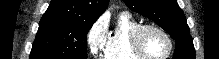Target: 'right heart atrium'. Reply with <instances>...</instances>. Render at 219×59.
Returning <instances> with one entry per match:
<instances>
[{
    "label": "right heart atrium",
    "mask_w": 219,
    "mask_h": 59,
    "mask_svg": "<svg viewBox=\"0 0 219 59\" xmlns=\"http://www.w3.org/2000/svg\"><path fill=\"white\" fill-rule=\"evenodd\" d=\"M106 37V25L102 19H99L92 25L86 36V43L92 55L96 56L103 50Z\"/></svg>",
    "instance_id": "right-heart-atrium-1"
}]
</instances>
